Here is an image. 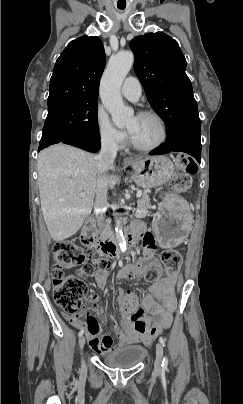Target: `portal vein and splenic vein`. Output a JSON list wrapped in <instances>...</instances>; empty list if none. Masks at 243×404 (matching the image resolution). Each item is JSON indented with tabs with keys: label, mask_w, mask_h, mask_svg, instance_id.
<instances>
[{
	"label": "portal vein and splenic vein",
	"mask_w": 243,
	"mask_h": 404,
	"mask_svg": "<svg viewBox=\"0 0 243 404\" xmlns=\"http://www.w3.org/2000/svg\"><path fill=\"white\" fill-rule=\"evenodd\" d=\"M136 196H137V198H141V196H142V190H138ZM80 198H85V194H80Z\"/></svg>",
	"instance_id": "18ae733b"
}]
</instances>
